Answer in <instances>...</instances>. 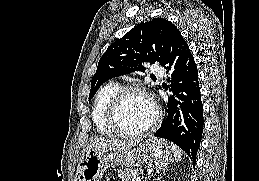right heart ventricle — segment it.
Here are the masks:
<instances>
[{
    "mask_svg": "<svg viewBox=\"0 0 259 181\" xmlns=\"http://www.w3.org/2000/svg\"><path fill=\"white\" fill-rule=\"evenodd\" d=\"M119 88L120 85L117 82H109L98 90L94 98L91 118L97 132L102 135L115 134L114 129L108 123L107 110L113 95Z\"/></svg>",
    "mask_w": 259,
    "mask_h": 181,
    "instance_id": "1",
    "label": "right heart ventricle"
}]
</instances>
